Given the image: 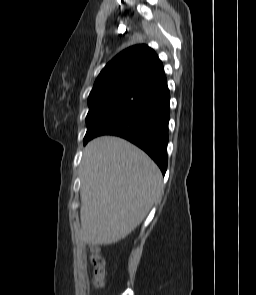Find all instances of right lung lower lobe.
<instances>
[{
	"label": "right lung lower lobe",
	"mask_w": 256,
	"mask_h": 295,
	"mask_svg": "<svg viewBox=\"0 0 256 295\" xmlns=\"http://www.w3.org/2000/svg\"><path fill=\"white\" fill-rule=\"evenodd\" d=\"M170 93L165 75L136 96L122 111L111 118L86 144L99 135H116L143 149L159 166L167 169Z\"/></svg>",
	"instance_id": "1"
}]
</instances>
